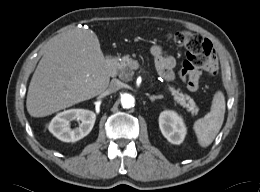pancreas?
Masks as SVG:
<instances>
[{
    "label": "pancreas",
    "mask_w": 260,
    "mask_h": 192,
    "mask_svg": "<svg viewBox=\"0 0 260 192\" xmlns=\"http://www.w3.org/2000/svg\"><path fill=\"white\" fill-rule=\"evenodd\" d=\"M136 61L133 60L129 55H124L121 57L119 63L117 64V72L121 79L129 81L133 75V64ZM167 91L171 93L174 101L180 104L183 108H186L188 112H191L192 116L198 114V107L196 103L190 96L183 94L180 89H175L174 86L167 84Z\"/></svg>",
    "instance_id": "obj_1"
}]
</instances>
